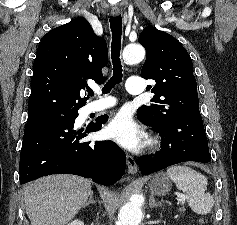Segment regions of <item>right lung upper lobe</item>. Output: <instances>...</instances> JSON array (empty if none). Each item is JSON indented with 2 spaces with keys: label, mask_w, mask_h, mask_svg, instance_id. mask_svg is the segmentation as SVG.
Returning a JSON list of instances; mask_svg holds the SVG:
<instances>
[{
  "label": "right lung upper lobe",
  "mask_w": 237,
  "mask_h": 225,
  "mask_svg": "<svg viewBox=\"0 0 237 225\" xmlns=\"http://www.w3.org/2000/svg\"><path fill=\"white\" fill-rule=\"evenodd\" d=\"M108 63L107 45L84 18L50 30L42 38L33 64L28 118L78 111L86 80L101 84Z\"/></svg>",
  "instance_id": "1"
}]
</instances>
